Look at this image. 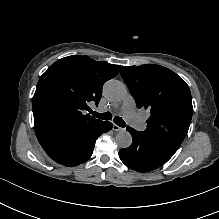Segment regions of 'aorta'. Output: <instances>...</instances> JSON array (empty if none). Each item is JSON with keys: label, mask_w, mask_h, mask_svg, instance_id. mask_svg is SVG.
Here are the masks:
<instances>
[{"label": "aorta", "mask_w": 219, "mask_h": 219, "mask_svg": "<svg viewBox=\"0 0 219 219\" xmlns=\"http://www.w3.org/2000/svg\"><path fill=\"white\" fill-rule=\"evenodd\" d=\"M103 93L109 100L121 101L126 96L127 89L121 81L111 79L105 83ZM115 141L120 148H128L132 144V136L127 131H120L117 133Z\"/></svg>", "instance_id": "762f6f07"}]
</instances>
